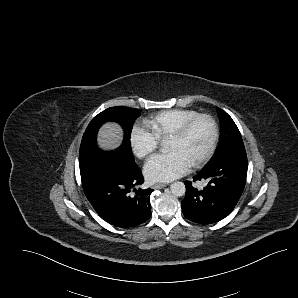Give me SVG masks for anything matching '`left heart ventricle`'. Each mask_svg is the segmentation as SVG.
Returning a JSON list of instances; mask_svg holds the SVG:
<instances>
[{"label": "left heart ventricle", "mask_w": 298, "mask_h": 298, "mask_svg": "<svg viewBox=\"0 0 298 298\" xmlns=\"http://www.w3.org/2000/svg\"><path fill=\"white\" fill-rule=\"evenodd\" d=\"M208 136V123L200 120L183 135L167 143L165 148L177 152L189 165L204 150Z\"/></svg>", "instance_id": "1"}]
</instances>
